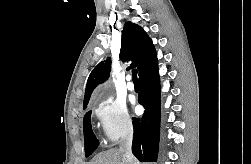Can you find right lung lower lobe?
Returning a JSON list of instances; mask_svg holds the SVG:
<instances>
[{
  "label": "right lung lower lobe",
  "instance_id": "98d812e1",
  "mask_svg": "<svg viewBox=\"0 0 251 164\" xmlns=\"http://www.w3.org/2000/svg\"><path fill=\"white\" fill-rule=\"evenodd\" d=\"M139 102L145 108L142 118H133L132 152L140 162H156L160 134V81L158 65L140 77Z\"/></svg>",
  "mask_w": 251,
  "mask_h": 164
}]
</instances>
